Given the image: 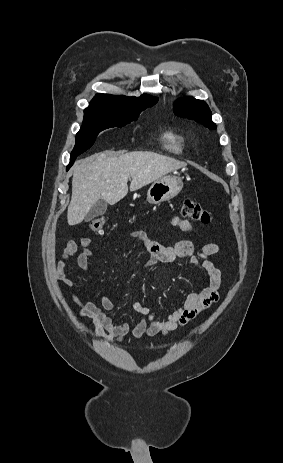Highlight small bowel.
<instances>
[{"instance_id": "1", "label": "small bowel", "mask_w": 283, "mask_h": 463, "mask_svg": "<svg viewBox=\"0 0 283 463\" xmlns=\"http://www.w3.org/2000/svg\"><path fill=\"white\" fill-rule=\"evenodd\" d=\"M172 226L184 232H191L193 226L184 219L174 217ZM132 238L138 239L143 248L149 254L144 262L145 267H151L158 263H171L176 259L189 260L204 276L205 283L197 291L189 293L179 304L173 305L171 312L166 317H160L152 313L148 308L138 302L134 303V309L140 313L141 318L131 330L135 338L167 335L180 326L186 325L200 312L207 309L219 299V289L222 282V274L218 267L209 259L219 251L218 245L206 243L198 249L192 241L182 240L173 246H164L155 241L147 232L134 231ZM92 240L82 238L79 242L69 241L66 244L62 256L54 262V270L57 278L69 290L72 300L79 306V315L90 318L97 329L98 336L106 342H120L129 333L130 326L122 321L115 324L105 311H113L115 304L106 296L101 297L100 305L86 300L83 291L78 294L73 290L74 283L65 269L68 262L77 257V263L81 269L88 271L89 258L92 256Z\"/></svg>"}]
</instances>
